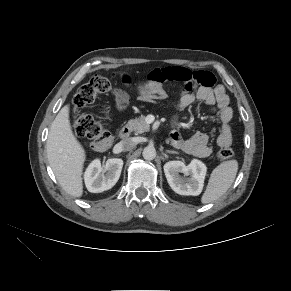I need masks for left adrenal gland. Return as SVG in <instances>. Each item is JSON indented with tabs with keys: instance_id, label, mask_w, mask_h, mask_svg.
I'll return each mask as SVG.
<instances>
[{
	"instance_id": "1",
	"label": "left adrenal gland",
	"mask_w": 291,
	"mask_h": 291,
	"mask_svg": "<svg viewBox=\"0 0 291 291\" xmlns=\"http://www.w3.org/2000/svg\"><path fill=\"white\" fill-rule=\"evenodd\" d=\"M167 153L174 154L177 153L176 151L166 150Z\"/></svg>"
}]
</instances>
